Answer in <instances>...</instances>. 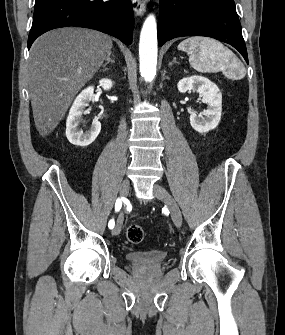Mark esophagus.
Returning <instances> with one entry per match:
<instances>
[{
	"mask_svg": "<svg viewBox=\"0 0 285 335\" xmlns=\"http://www.w3.org/2000/svg\"><path fill=\"white\" fill-rule=\"evenodd\" d=\"M146 0H131L132 7L134 12L139 15L143 16L146 10Z\"/></svg>",
	"mask_w": 285,
	"mask_h": 335,
	"instance_id": "obj_1",
	"label": "esophagus"
}]
</instances>
